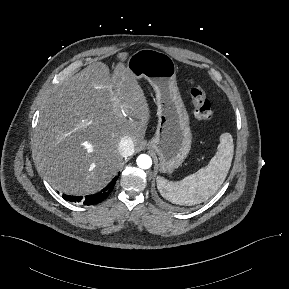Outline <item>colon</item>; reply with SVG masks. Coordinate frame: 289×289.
<instances>
[{
  "instance_id": "1",
  "label": "colon",
  "mask_w": 289,
  "mask_h": 289,
  "mask_svg": "<svg viewBox=\"0 0 289 289\" xmlns=\"http://www.w3.org/2000/svg\"><path fill=\"white\" fill-rule=\"evenodd\" d=\"M190 95L196 119L202 123H210L213 118V112L211 102L204 89L199 84L193 82Z\"/></svg>"
}]
</instances>
